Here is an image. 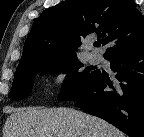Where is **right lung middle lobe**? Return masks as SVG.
Masks as SVG:
<instances>
[{
  "mask_svg": "<svg viewBox=\"0 0 144 137\" xmlns=\"http://www.w3.org/2000/svg\"><path fill=\"white\" fill-rule=\"evenodd\" d=\"M83 64L76 56L57 59H42L17 67L9 97L20 100L27 97L32 89V80L44 71L46 73H67L63 90L58 99L73 101L80 97L98 75L99 70L82 69Z\"/></svg>",
  "mask_w": 144,
  "mask_h": 137,
  "instance_id": "1",
  "label": "right lung middle lobe"
}]
</instances>
